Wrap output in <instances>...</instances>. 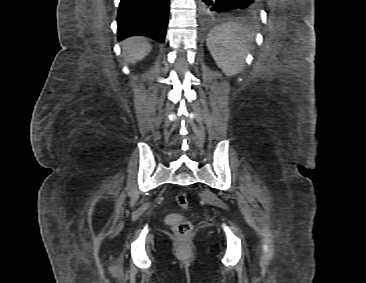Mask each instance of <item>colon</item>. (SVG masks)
<instances>
[{"mask_svg":"<svg viewBox=\"0 0 366 283\" xmlns=\"http://www.w3.org/2000/svg\"><path fill=\"white\" fill-rule=\"evenodd\" d=\"M176 202L182 209H187L189 207V198L186 193H179L176 197ZM173 229L178 236L185 237L191 232L192 226L189 222L182 221L175 224Z\"/></svg>","mask_w":366,"mask_h":283,"instance_id":"obj_1","label":"colon"}]
</instances>
